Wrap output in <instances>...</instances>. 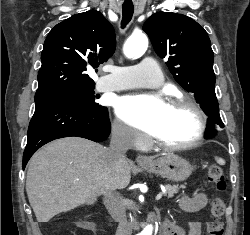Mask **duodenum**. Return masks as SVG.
Here are the masks:
<instances>
[{"label": "duodenum", "instance_id": "obj_1", "mask_svg": "<svg viewBox=\"0 0 250 235\" xmlns=\"http://www.w3.org/2000/svg\"><path fill=\"white\" fill-rule=\"evenodd\" d=\"M157 220V216L155 214H152L150 217H149V221L151 222H156Z\"/></svg>", "mask_w": 250, "mask_h": 235}]
</instances>
